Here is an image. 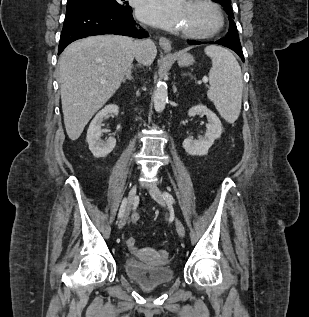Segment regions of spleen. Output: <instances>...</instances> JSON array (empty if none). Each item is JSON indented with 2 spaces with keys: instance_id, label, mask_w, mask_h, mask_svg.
<instances>
[{
  "instance_id": "1",
  "label": "spleen",
  "mask_w": 309,
  "mask_h": 317,
  "mask_svg": "<svg viewBox=\"0 0 309 317\" xmlns=\"http://www.w3.org/2000/svg\"><path fill=\"white\" fill-rule=\"evenodd\" d=\"M204 51L212 60L207 97L227 122L234 123L239 117L242 102L241 67L234 55L223 47L210 45Z\"/></svg>"
}]
</instances>
